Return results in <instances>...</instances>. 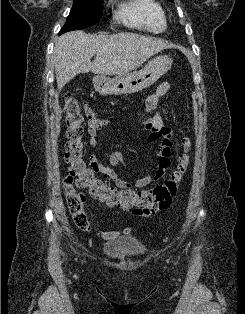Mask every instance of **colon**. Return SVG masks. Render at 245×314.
I'll return each mask as SVG.
<instances>
[{"label":"colon","mask_w":245,"mask_h":314,"mask_svg":"<svg viewBox=\"0 0 245 314\" xmlns=\"http://www.w3.org/2000/svg\"><path fill=\"white\" fill-rule=\"evenodd\" d=\"M64 102L68 127L65 161L69 165V174L64 179L63 187L75 225L81 230L90 229V222L85 212V197L79 192L80 188L88 189L92 197L108 206L134 209L142 214H152L167 209L177 194L183 175L190 164V139L188 137L182 139L184 151L179 156L176 169L166 182L148 190L119 189L97 178L95 170L86 164L82 141L85 119L81 104L70 93L65 95Z\"/></svg>","instance_id":"colon-1"}]
</instances>
